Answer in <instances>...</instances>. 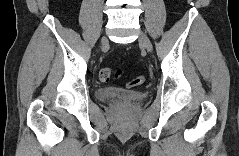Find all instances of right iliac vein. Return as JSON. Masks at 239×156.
<instances>
[{
	"label": "right iliac vein",
	"instance_id": "right-iliac-vein-1",
	"mask_svg": "<svg viewBox=\"0 0 239 156\" xmlns=\"http://www.w3.org/2000/svg\"><path fill=\"white\" fill-rule=\"evenodd\" d=\"M107 43H108V40H107V38L104 36V37L102 38V40H101V45H102V47H104L105 45H107Z\"/></svg>",
	"mask_w": 239,
	"mask_h": 156
}]
</instances>
